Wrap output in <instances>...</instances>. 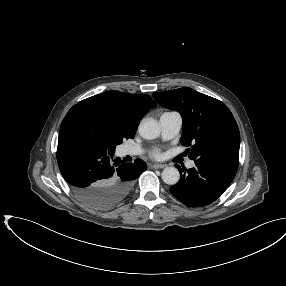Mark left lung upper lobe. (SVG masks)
Segmentation results:
<instances>
[{
	"mask_svg": "<svg viewBox=\"0 0 286 286\" xmlns=\"http://www.w3.org/2000/svg\"><path fill=\"white\" fill-rule=\"evenodd\" d=\"M163 107L183 118L181 144L190 146L189 158L197 164L222 167L233 173L239 164L240 133L224 103L189 87L152 94Z\"/></svg>",
	"mask_w": 286,
	"mask_h": 286,
	"instance_id": "left-lung-upper-lobe-1",
	"label": "left lung upper lobe"
}]
</instances>
